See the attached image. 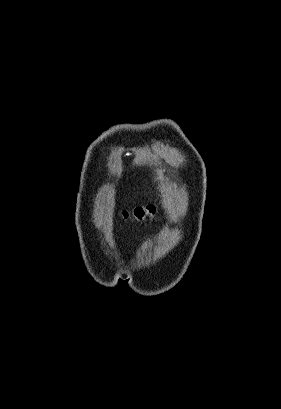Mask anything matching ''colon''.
<instances>
[{"label":"colon","mask_w":281,"mask_h":409,"mask_svg":"<svg viewBox=\"0 0 281 409\" xmlns=\"http://www.w3.org/2000/svg\"><path fill=\"white\" fill-rule=\"evenodd\" d=\"M134 213L137 219L141 220L143 217L149 216L154 213V206H137L134 209Z\"/></svg>","instance_id":"5ec220e1"}]
</instances>
